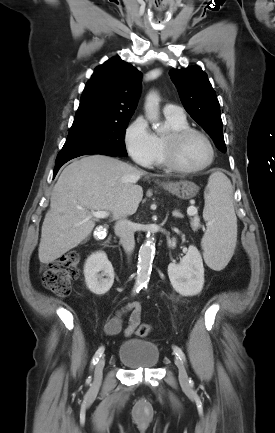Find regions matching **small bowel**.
<instances>
[{
	"label": "small bowel",
	"instance_id": "small-bowel-1",
	"mask_svg": "<svg viewBox=\"0 0 275 433\" xmlns=\"http://www.w3.org/2000/svg\"><path fill=\"white\" fill-rule=\"evenodd\" d=\"M142 306L139 302H132L121 307L117 313L105 323V332L114 336L123 328V319L128 316V324L124 329L126 337L134 334L141 321Z\"/></svg>",
	"mask_w": 275,
	"mask_h": 433
}]
</instances>
